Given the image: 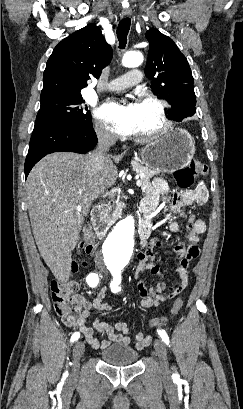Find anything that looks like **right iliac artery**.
<instances>
[{
    "mask_svg": "<svg viewBox=\"0 0 243 409\" xmlns=\"http://www.w3.org/2000/svg\"><path fill=\"white\" fill-rule=\"evenodd\" d=\"M86 282L88 283V285L90 287H96L98 282H99V275L97 273H90L87 278H86ZM80 337V333L79 332H75L72 336H71V342L73 343L74 341L78 340ZM64 378L67 377V373L64 374L63 376Z\"/></svg>",
    "mask_w": 243,
    "mask_h": 409,
    "instance_id": "82829eb1",
    "label": "right iliac artery"
}]
</instances>
